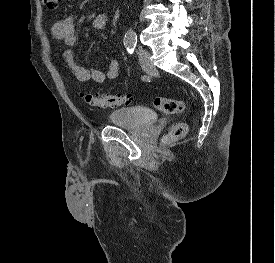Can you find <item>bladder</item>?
I'll use <instances>...</instances> for the list:
<instances>
[{
	"mask_svg": "<svg viewBox=\"0 0 275 263\" xmlns=\"http://www.w3.org/2000/svg\"><path fill=\"white\" fill-rule=\"evenodd\" d=\"M157 113L146 107H124L111 111L109 121L119 127L139 129L152 125L157 120Z\"/></svg>",
	"mask_w": 275,
	"mask_h": 263,
	"instance_id": "obj_1",
	"label": "bladder"
}]
</instances>
